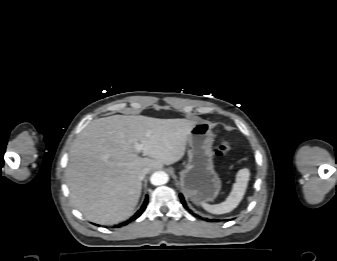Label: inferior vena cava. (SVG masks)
<instances>
[{
  "mask_svg": "<svg viewBox=\"0 0 337 261\" xmlns=\"http://www.w3.org/2000/svg\"><path fill=\"white\" fill-rule=\"evenodd\" d=\"M149 172V169L145 168L143 170H141L138 174V178L140 180H143L145 178V175Z\"/></svg>",
  "mask_w": 337,
  "mask_h": 261,
  "instance_id": "1",
  "label": "inferior vena cava"
}]
</instances>
